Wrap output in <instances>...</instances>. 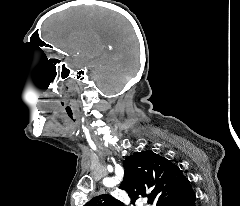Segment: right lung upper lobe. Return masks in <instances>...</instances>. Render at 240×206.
Segmentation results:
<instances>
[{
    "instance_id": "1",
    "label": "right lung upper lobe",
    "mask_w": 240,
    "mask_h": 206,
    "mask_svg": "<svg viewBox=\"0 0 240 206\" xmlns=\"http://www.w3.org/2000/svg\"><path fill=\"white\" fill-rule=\"evenodd\" d=\"M125 177L120 188L125 190L134 204L138 199L152 196L156 206L179 194L190 183L180 168L153 151L135 152L124 161ZM85 206H124L109 194H99Z\"/></svg>"
}]
</instances>
